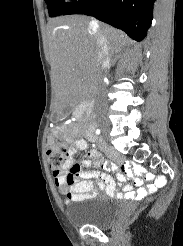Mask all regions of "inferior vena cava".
Segmentation results:
<instances>
[{"label": "inferior vena cava", "mask_w": 183, "mask_h": 246, "mask_svg": "<svg viewBox=\"0 0 183 246\" xmlns=\"http://www.w3.org/2000/svg\"><path fill=\"white\" fill-rule=\"evenodd\" d=\"M90 25L94 27H98V22L95 19H92ZM99 45H100V52L97 58V63L99 67V78L97 80L96 106L99 110H101L107 107L105 87L101 77H102V73L110 67L111 52L108 47L107 39L104 35L100 36Z\"/></svg>", "instance_id": "1"}]
</instances>
